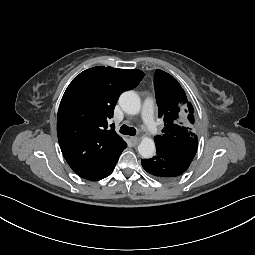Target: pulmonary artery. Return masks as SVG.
Listing matches in <instances>:
<instances>
[{"instance_id": "1", "label": "pulmonary artery", "mask_w": 255, "mask_h": 255, "mask_svg": "<svg viewBox=\"0 0 255 255\" xmlns=\"http://www.w3.org/2000/svg\"><path fill=\"white\" fill-rule=\"evenodd\" d=\"M141 117L143 124L145 125L146 129L151 133L155 134L156 133V124L154 121V116H153V103L151 100H145L143 107H142V112H141Z\"/></svg>"}]
</instances>
